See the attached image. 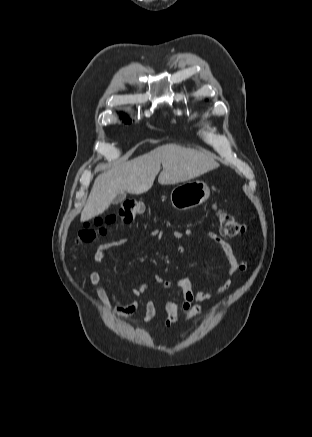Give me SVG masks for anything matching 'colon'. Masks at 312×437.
<instances>
[{
	"label": "colon",
	"instance_id": "colon-1",
	"mask_svg": "<svg viewBox=\"0 0 312 437\" xmlns=\"http://www.w3.org/2000/svg\"><path fill=\"white\" fill-rule=\"evenodd\" d=\"M145 211V204L142 200L125 199L121 202L119 212L116 216L106 219H98L94 225L83 227L77 236V242L93 241L97 235L106 232V226L114 223L129 224L139 218ZM221 234L233 238L241 235L246 225L226 212L219 213Z\"/></svg>",
	"mask_w": 312,
	"mask_h": 437
}]
</instances>
